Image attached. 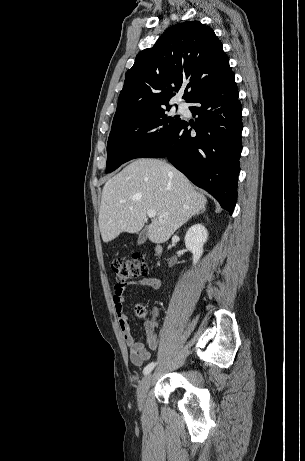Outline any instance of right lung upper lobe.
Instances as JSON below:
<instances>
[{
    "mask_svg": "<svg viewBox=\"0 0 305 461\" xmlns=\"http://www.w3.org/2000/svg\"><path fill=\"white\" fill-rule=\"evenodd\" d=\"M231 73L222 43L210 27L199 21L176 24L136 56L126 72L113 124L167 105L181 86L187 85L183 98L189 102Z\"/></svg>",
    "mask_w": 305,
    "mask_h": 461,
    "instance_id": "obj_1",
    "label": "right lung upper lobe"
}]
</instances>
